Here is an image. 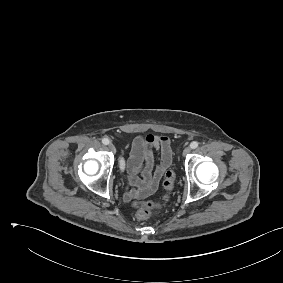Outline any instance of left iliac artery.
I'll list each match as a JSON object with an SVG mask.
<instances>
[{"label":"left iliac artery","mask_w":283,"mask_h":283,"mask_svg":"<svg viewBox=\"0 0 283 283\" xmlns=\"http://www.w3.org/2000/svg\"><path fill=\"white\" fill-rule=\"evenodd\" d=\"M190 147H191L192 149L197 148V147H198V142H197V141L191 142Z\"/></svg>","instance_id":"obj_1"}]
</instances>
